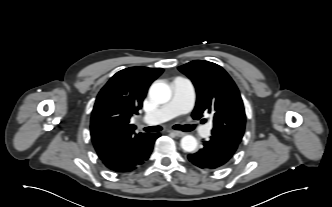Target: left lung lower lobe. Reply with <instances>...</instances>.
<instances>
[{
    "instance_id": "0a47b994",
    "label": "left lung lower lobe",
    "mask_w": 332,
    "mask_h": 207,
    "mask_svg": "<svg viewBox=\"0 0 332 207\" xmlns=\"http://www.w3.org/2000/svg\"><path fill=\"white\" fill-rule=\"evenodd\" d=\"M238 145L211 136L208 141H203V147L196 153L189 154V161L197 168L204 171H213L226 165L233 157Z\"/></svg>"
}]
</instances>
